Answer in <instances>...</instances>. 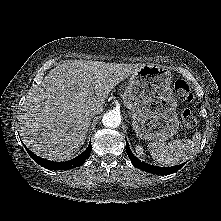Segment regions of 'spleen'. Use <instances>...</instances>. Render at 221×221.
Here are the masks:
<instances>
[{
    "label": "spleen",
    "mask_w": 221,
    "mask_h": 221,
    "mask_svg": "<svg viewBox=\"0 0 221 221\" xmlns=\"http://www.w3.org/2000/svg\"><path fill=\"white\" fill-rule=\"evenodd\" d=\"M201 134L191 139H176L169 143L153 141L148 144L152 158L163 166H174L190 159L200 148Z\"/></svg>",
    "instance_id": "spleen-1"
}]
</instances>
